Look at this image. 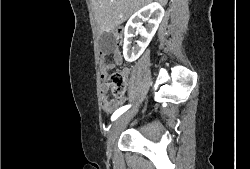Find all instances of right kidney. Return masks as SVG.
I'll return each mask as SVG.
<instances>
[{"label": "right kidney", "mask_w": 250, "mask_h": 169, "mask_svg": "<svg viewBox=\"0 0 250 169\" xmlns=\"http://www.w3.org/2000/svg\"><path fill=\"white\" fill-rule=\"evenodd\" d=\"M164 12L165 10L159 2H151V4H146V6H143V8H140V10H137V12H134L130 16L124 28L123 56L125 60L133 62V60H137L141 56L150 40H152V36L156 32L164 16ZM139 20H143V22L147 20V28L141 26L143 22H139ZM134 28H136V32L141 34V38L140 40H136L137 44H133L132 46L131 38L132 36H136V34H133Z\"/></svg>", "instance_id": "obj_1"}]
</instances>
